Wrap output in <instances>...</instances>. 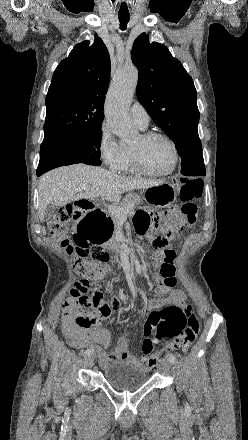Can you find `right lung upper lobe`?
Instances as JSON below:
<instances>
[{"label":"right lung upper lobe","mask_w":248,"mask_h":440,"mask_svg":"<svg viewBox=\"0 0 248 440\" xmlns=\"http://www.w3.org/2000/svg\"><path fill=\"white\" fill-rule=\"evenodd\" d=\"M110 79V57L95 36L77 44L62 60L46 96L44 138L74 134L102 125L105 94Z\"/></svg>","instance_id":"cb5924a9"}]
</instances>
